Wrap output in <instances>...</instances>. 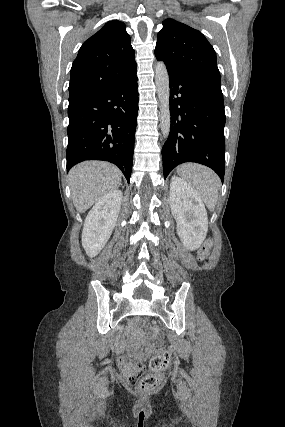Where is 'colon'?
Here are the masks:
<instances>
[{"mask_svg": "<svg viewBox=\"0 0 285 427\" xmlns=\"http://www.w3.org/2000/svg\"><path fill=\"white\" fill-rule=\"evenodd\" d=\"M211 248V240H208L203 244L199 250V259L201 261H205L208 258ZM126 354L131 357L136 356V353L132 349H127ZM170 360L171 356L167 350L158 349L150 359L151 373H145L142 362L133 361V373L129 378V385L135 390L146 393L154 391L160 383L158 374L169 366Z\"/></svg>", "mask_w": 285, "mask_h": 427, "instance_id": "obj_1", "label": "colon"}]
</instances>
